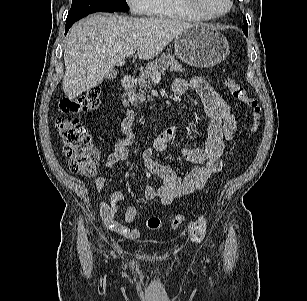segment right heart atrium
<instances>
[{"label":"right heart atrium","instance_id":"d8ad5b80","mask_svg":"<svg viewBox=\"0 0 307 301\" xmlns=\"http://www.w3.org/2000/svg\"><path fill=\"white\" fill-rule=\"evenodd\" d=\"M126 3L134 14H149L152 10L153 0H126Z\"/></svg>","mask_w":307,"mask_h":301}]
</instances>
